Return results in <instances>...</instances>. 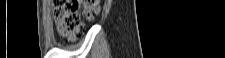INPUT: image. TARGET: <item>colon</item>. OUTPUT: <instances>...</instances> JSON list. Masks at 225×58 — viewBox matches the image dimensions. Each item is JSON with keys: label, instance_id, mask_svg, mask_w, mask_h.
<instances>
[{"label": "colon", "instance_id": "colon-1", "mask_svg": "<svg viewBox=\"0 0 225 58\" xmlns=\"http://www.w3.org/2000/svg\"><path fill=\"white\" fill-rule=\"evenodd\" d=\"M81 6L87 18L95 17L99 12L95 0H56L54 1L55 21L59 34L68 39H75L82 29Z\"/></svg>", "mask_w": 225, "mask_h": 58}]
</instances>
